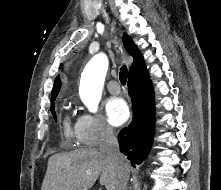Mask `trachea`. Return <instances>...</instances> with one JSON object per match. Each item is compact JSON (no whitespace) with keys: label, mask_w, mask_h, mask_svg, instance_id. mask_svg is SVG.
Here are the masks:
<instances>
[{"label":"trachea","mask_w":221,"mask_h":190,"mask_svg":"<svg viewBox=\"0 0 221 190\" xmlns=\"http://www.w3.org/2000/svg\"><path fill=\"white\" fill-rule=\"evenodd\" d=\"M127 76H128V72H127V67L125 65H123L120 69V73H119V79L122 85H125L127 82Z\"/></svg>","instance_id":"obj_1"}]
</instances>
